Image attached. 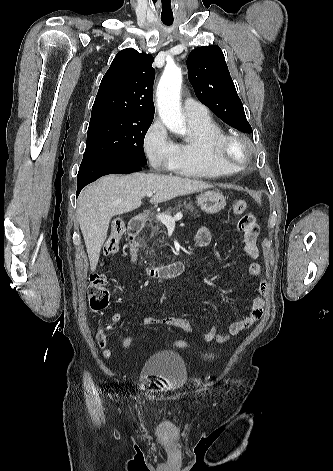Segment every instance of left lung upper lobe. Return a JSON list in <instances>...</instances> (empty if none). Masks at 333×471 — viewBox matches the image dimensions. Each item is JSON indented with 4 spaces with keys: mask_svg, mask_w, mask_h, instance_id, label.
<instances>
[{
    "mask_svg": "<svg viewBox=\"0 0 333 471\" xmlns=\"http://www.w3.org/2000/svg\"><path fill=\"white\" fill-rule=\"evenodd\" d=\"M187 66L188 78L197 98L228 125L245 133L253 132L220 47L212 45L194 49Z\"/></svg>",
    "mask_w": 333,
    "mask_h": 471,
    "instance_id": "left-lung-upper-lobe-1",
    "label": "left lung upper lobe"
}]
</instances>
